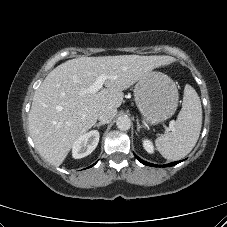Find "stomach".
Listing matches in <instances>:
<instances>
[{"instance_id":"1","label":"stomach","mask_w":227,"mask_h":227,"mask_svg":"<svg viewBox=\"0 0 227 227\" xmlns=\"http://www.w3.org/2000/svg\"><path fill=\"white\" fill-rule=\"evenodd\" d=\"M134 97L145 122L150 125H157L172 117L179 100L175 82L158 71H151L137 81Z\"/></svg>"}]
</instances>
